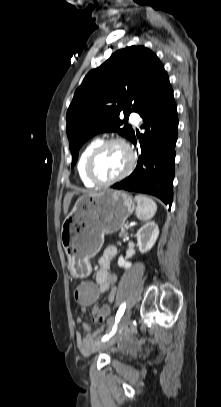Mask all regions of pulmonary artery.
<instances>
[{"label": "pulmonary artery", "instance_id": "obj_1", "mask_svg": "<svg viewBox=\"0 0 221 407\" xmlns=\"http://www.w3.org/2000/svg\"><path fill=\"white\" fill-rule=\"evenodd\" d=\"M130 120L134 123L137 124L140 121V117L137 113H132L130 116Z\"/></svg>", "mask_w": 221, "mask_h": 407}]
</instances>
